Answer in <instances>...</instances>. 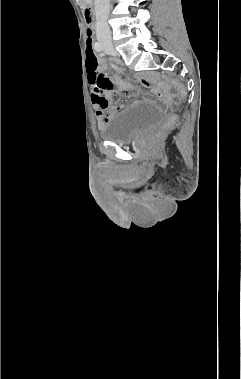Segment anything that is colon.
<instances>
[{
    "label": "colon",
    "mask_w": 241,
    "mask_h": 379,
    "mask_svg": "<svg viewBox=\"0 0 241 379\" xmlns=\"http://www.w3.org/2000/svg\"><path fill=\"white\" fill-rule=\"evenodd\" d=\"M86 67H87V72H86L87 80L88 82H91L90 88L94 89L95 92L99 96H102L105 90L112 89L113 83L109 79L103 77L98 72V58L92 49V41L89 35L87 39V49H86ZM183 95H184V91L180 90L179 96L183 97ZM160 97L166 102L170 101L172 98L171 94L168 92L160 94ZM174 123H175V118L174 117L169 118L164 126V129H167Z\"/></svg>",
    "instance_id": "colon-1"
}]
</instances>
